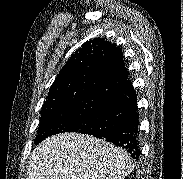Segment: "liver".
I'll list each match as a JSON object with an SVG mask.
<instances>
[{
	"label": "liver",
	"instance_id": "obj_1",
	"mask_svg": "<svg viewBox=\"0 0 183 179\" xmlns=\"http://www.w3.org/2000/svg\"><path fill=\"white\" fill-rule=\"evenodd\" d=\"M132 170L123 149L93 136L62 133L34 148L27 179H123Z\"/></svg>",
	"mask_w": 183,
	"mask_h": 179
}]
</instances>
